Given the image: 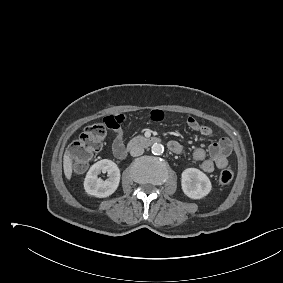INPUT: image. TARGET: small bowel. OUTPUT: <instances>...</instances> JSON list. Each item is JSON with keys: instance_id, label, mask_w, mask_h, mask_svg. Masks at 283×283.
<instances>
[{"instance_id": "c3829d8e", "label": "small bowel", "mask_w": 283, "mask_h": 283, "mask_svg": "<svg viewBox=\"0 0 283 283\" xmlns=\"http://www.w3.org/2000/svg\"><path fill=\"white\" fill-rule=\"evenodd\" d=\"M163 112L161 110H152L150 117L154 121H161L163 119ZM125 121L124 115H112L105 118L107 126L114 133L113 152L114 155L122 159L124 158V132L121 124ZM188 127L201 134L204 137H210L212 135V129L200 122L195 118L189 117L187 119ZM170 150L175 154H180L183 151V147L176 141L169 143ZM232 151V143L229 138L223 137L216 142L209 145L207 151L203 148H197L193 152V159L200 163V168L206 173L213 172L216 168L223 169L228 164V157Z\"/></svg>"}]
</instances>
